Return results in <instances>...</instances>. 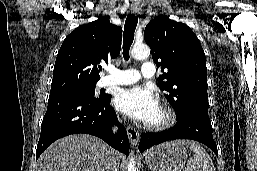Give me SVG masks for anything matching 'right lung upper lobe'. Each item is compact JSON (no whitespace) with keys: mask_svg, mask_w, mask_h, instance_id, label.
<instances>
[{"mask_svg":"<svg viewBox=\"0 0 257 171\" xmlns=\"http://www.w3.org/2000/svg\"><path fill=\"white\" fill-rule=\"evenodd\" d=\"M121 40L122 28L107 17L77 27L58 52L51 87L97 82L101 64L119 55Z\"/></svg>","mask_w":257,"mask_h":171,"instance_id":"cb5924a9","label":"right lung upper lobe"}]
</instances>
